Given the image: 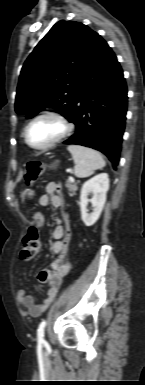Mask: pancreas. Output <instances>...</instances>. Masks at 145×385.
<instances>
[{"instance_id":"cf45deb5","label":"pancreas","mask_w":145,"mask_h":385,"mask_svg":"<svg viewBox=\"0 0 145 385\" xmlns=\"http://www.w3.org/2000/svg\"><path fill=\"white\" fill-rule=\"evenodd\" d=\"M77 184H78L77 182H70V181H67V183L65 184L71 196L75 195L78 189Z\"/></svg>"}]
</instances>
